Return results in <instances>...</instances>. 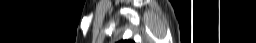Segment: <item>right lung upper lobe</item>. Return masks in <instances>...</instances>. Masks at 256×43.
<instances>
[{
  "instance_id": "1",
  "label": "right lung upper lobe",
  "mask_w": 256,
  "mask_h": 43,
  "mask_svg": "<svg viewBox=\"0 0 256 43\" xmlns=\"http://www.w3.org/2000/svg\"><path fill=\"white\" fill-rule=\"evenodd\" d=\"M119 43H133L132 41H127V40H122V41H120Z\"/></svg>"
}]
</instances>
